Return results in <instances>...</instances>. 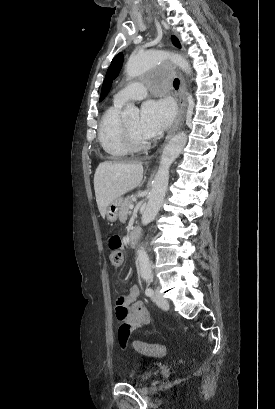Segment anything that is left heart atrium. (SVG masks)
<instances>
[{"mask_svg": "<svg viewBox=\"0 0 275 409\" xmlns=\"http://www.w3.org/2000/svg\"><path fill=\"white\" fill-rule=\"evenodd\" d=\"M174 111L165 101L149 100L143 104L139 128L149 139L158 137L170 125Z\"/></svg>", "mask_w": 275, "mask_h": 409, "instance_id": "left-heart-atrium-1", "label": "left heart atrium"}]
</instances>
